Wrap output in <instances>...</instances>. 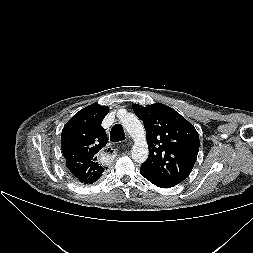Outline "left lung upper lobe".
<instances>
[{
	"instance_id": "obj_1",
	"label": "left lung upper lobe",
	"mask_w": 253,
	"mask_h": 253,
	"mask_svg": "<svg viewBox=\"0 0 253 253\" xmlns=\"http://www.w3.org/2000/svg\"><path fill=\"white\" fill-rule=\"evenodd\" d=\"M143 121L149 148L148 159L140 170L158 179L182 182L194 167L199 151V135L194 126L169 106L155 103L133 104Z\"/></svg>"
}]
</instances>
